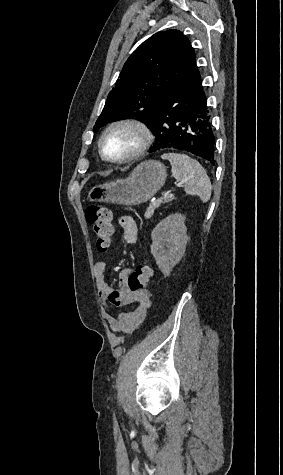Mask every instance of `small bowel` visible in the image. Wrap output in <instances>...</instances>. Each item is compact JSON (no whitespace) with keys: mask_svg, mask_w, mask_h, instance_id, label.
I'll use <instances>...</instances> for the list:
<instances>
[{"mask_svg":"<svg viewBox=\"0 0 283 475\" xmlns=\"http://www.w3.org/2000/svg\"><path fill=\"white\" fill-rule=\"evenodd\" d=\"M122 230L123 241L126 244H135L138 240V226L135 219L124 215L118 220ZM107 265L103 261L96 262L93 268L97 295L103 310V318L111 331L118 334H129L138 329L143 323L151 308L150 291H140L139 296H123L122 290L114 289L106 280ZM130 268H122L119 272L120 285L128 281ZM135 304L129 311H123L113 316L109 313L112 306H126Z\"/></svg>","mask_w":283,"mask_h":475,"instance_id":"obj_1","label":"small bowel"}]
</instances>
